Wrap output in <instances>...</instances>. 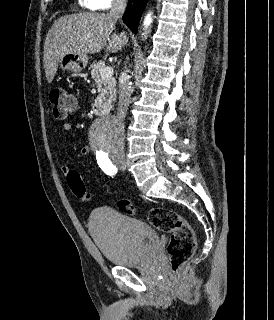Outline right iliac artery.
<instances>
[{
	"label": "right iliac artery",
	"mask_w": 274,
	"mask_h": 320,
	"mask_svg": "<svg viewBox=\"0 0 274 320\" xmlns=\"http://www.w3.org/2000/svg\"><path fill=\"white\" fill-rule=\"evenodd\" d=\"M98 165L100 166V168L106 172V173H110V174H116L117 173V169L115 166H113L112 162L110 161V159L108 158H103L98 160Z\"/></svg>",
	"instance_id": "82829eb1"
}]
</instances>
